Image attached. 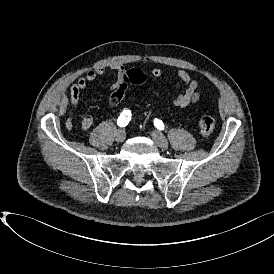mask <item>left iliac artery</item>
I'll return each instance as SVG.
<instances>
[{"mask_svg":"<svg viewBox=\"0 0 274 274\" xmlns=\"http://www.w3.org/2000/svg\"><path fill=\"white\" fill-rule=\"evenodd\" d=\"M154 125L157 129L163 130L164 129V124L161 120L159 119H154Z\"/></svg>","mask_w":274,"mask_h":274,"instance_id":"obj_1","label":"left iliac artery"}]
</instances>
